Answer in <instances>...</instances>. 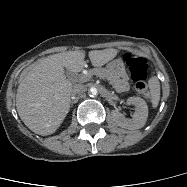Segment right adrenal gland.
<instances>
[{
  "mask_svg": "<svg viewBox=\"0 0 187 187\" xmlns=\"http://www.w3.org/2000/svg\"><path fill=\"white\" fill-rule=\"evenodd\" d=\"M71 106L73 105V101H70Z\"/></svg>",
  "mask_w": 187,
  "mask_h": 187,
  "instance_id": "obj_1",
  "label": "right adrenal gland"
}]
</instances>
